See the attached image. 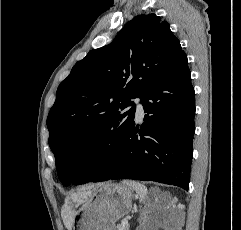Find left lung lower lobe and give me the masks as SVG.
I'll return each instance as SVG.
<instances>
[{
  "instance_id": "1",
  "label": "left lung lower lobe",
  "mask_w": 241,
  "mask_h": 230,
  "mask_svg": "<svg viewBox=\"0 0 241 230\" xmlns=\"http://www.w3.org/2000/svg\"><path fill=\"white\" fill-rule=\"evenodd\" d=\"M194 96L187 56L182 53L142 97L145 123L139 128L133 122L114 143L92 146L74 165L70 182L152 180L188 190Z\"/></svg>"
}]
</instances>
